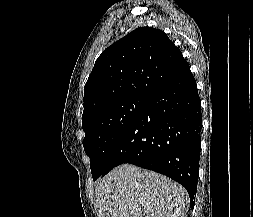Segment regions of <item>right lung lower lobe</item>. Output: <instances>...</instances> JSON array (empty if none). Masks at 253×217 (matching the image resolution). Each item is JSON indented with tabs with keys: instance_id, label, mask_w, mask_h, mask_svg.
<instances>
[{
	"instance_id": "98d812e1",
	"label": "right lung lower lobe",
	"mask_w": 253,
	"mask_h": 217,
	"mask_svg": "<svg viewBox=\"0 0 253 217\" xmlns=\"http://www.w3.org/2000/svg\"><path fill=\"white\" fill-rule=\"evenodd\" d=\"M201 127V101L187 63L148 98L113 148L101 176L124 163L156 171L182 184L193 208Z\"/></svg>"
}]
</instances>
